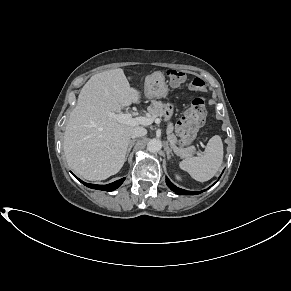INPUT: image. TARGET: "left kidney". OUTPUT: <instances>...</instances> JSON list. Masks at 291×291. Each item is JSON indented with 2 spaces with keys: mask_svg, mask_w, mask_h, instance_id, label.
I'll return each instance as SVG.
<instances>
[{
  "mask_svg": "<svg viewBox=\"0 0 291 291\" xmlns=\"http://www.w3.org/2000/svg\"><path fill=\"white\" fill-rule=\"evenodd\" d=\"M175 178H176V180H178V181L181 180V177H180L179 175H177V174L175 175Z\"/></svg>",
  "mask_w": 291,
  "mask_h": 291,
  "instance_id": "5707ae66",
  "label": "left kidney"
}]
</instances>
